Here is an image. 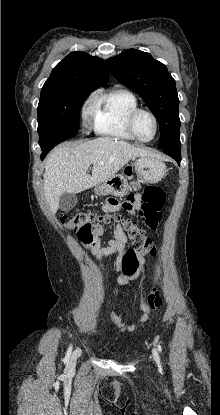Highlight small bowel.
Here are the masks:
<instances>
[{
  "label": "small bowel",
  "mask_w": 220,
  "mask_h": 415,
  "mask_svg": "<svg viewBox=\"0 0 220 415\" xmlns=\"http://www.w3.org/2000/svg\"><path fill=\"white\" fill-rule=\"evenodd\" d=\"M127 202L129 203V206L124 207L123 209L131 214H135L137 210L135 204L139 202V196L129 194ZM103 210L115 211L120 210V207L105 204L103 206ZM78 239L82 244L90 246L93 249L94 256L97 259V261H99L102 267H105L108 259L112 257H117L118 260L116 263V270H119V258L127 248V238L120 224L116 225L112 237H105L103 227L98 226L95 229H93L89 235H86L83 232H78ZM103 239L106 241L105 247H101V241ZM141 301L143 313L137 324L124 326L121 317L116 315L112 310H110L109 315L112 323H114L119 328H123L131 332L136 330L140 325L147 322L152 310L155 309V307L151 306L148 302V299L145 297H143Z\"/></svg>",
  "instance_id": "obj_1"
}]
</instances>
